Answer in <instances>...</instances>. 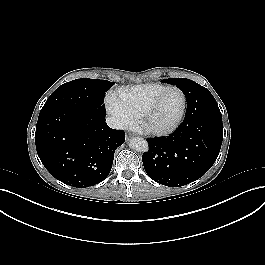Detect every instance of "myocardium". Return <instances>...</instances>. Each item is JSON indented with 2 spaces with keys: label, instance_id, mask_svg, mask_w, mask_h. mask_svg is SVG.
I'll return each instance as SVG.
<instances>
[{
  "label": "myocardium",
  "instance_id": "1",
  "mask_svg": "<svg viewBox=\"0 0 265 265\" xmlns=\"http://www.w3.org/2000/svg\"><path fill=\"white\" fill-rule=\"evenodd\" d=\"M170 90L178 91L182 97V107H181V111L178 117L175 119V121L172 124H170L169 126L165 128L156 129V128L150 127L147 124V119L151 115L152 111L156 108V106L158 105L159 101L164 96V94ZM186 110H187V97L184 91L177 86H166L162 91H160L153 98V100L149 103L147 108L144 110L140 118V121H139V130L150 136H157V137L167 136L173 133L180 126V124L182 123L185 117Z\"/></svg>",
  "mask_w": 265,
  "mask_h": 265
}]
</instances>
